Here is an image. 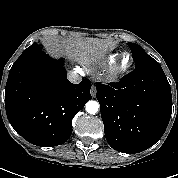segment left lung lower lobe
I'll list each match as a JSON object with an SVG mask.
<instances>
[{
  "label": "left lung lower lobe",
  "mask_w": 178,
  "mask_h": 178,
  "mask_svg": "<svg viewBox=\"0 0 178 178\" xmlns=\"http://www.w3.org/2000/svg\"><path fill=\"white\" fill-rule=\"evenodd\" d=\"M106 140L123 153L142 152L164 134L172 112L170 84L159 63L134 69L117 83H97Z\"/></svg>",
  "instance_id": "0a47b994"
}]
</instances>
